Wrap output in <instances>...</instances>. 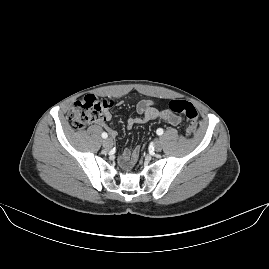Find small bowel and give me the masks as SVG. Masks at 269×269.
Segmentation results:
<instances>
[{
    "label": "small bowel",
    "mask_w": 269,
    "mask_h": 269,
    "mask_svg": "<svg viewBox=\"0 0 269 269\" xmlns=\"http://www.w3.org/2000/svg\"><path fill=\"white\" fill-rule=\"evenodd\" d=\"M137 111L141 114L140 117H132L128 119V127H132L136 124H141L149 120H162L168 122L173 126L181 124L182 120L179 116L171 113L168 110H159L155 107V103L152 100H142L137 105ZM112 119V115L108 110H105L102 118L98 121V125L105 129L112 137L117 135V132L108 125V122ZM143 147L140 144L135 145L132 154L129 150H123L119 156V162L124 164L125 169L130 170L135 168L138 164L139 153L142 152ZM130 160V161H129Z\"/></svg>",
    "instance_id": "c3829d8e"
}]
</instances>
